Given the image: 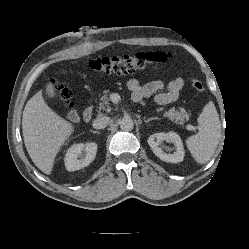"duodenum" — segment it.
<instances>
[{
	"label": "duodenum",
	"instance_id": "410a0bca",
	"mask_svg": "<svg viewBox=\"0 0 249 249\" xmlns=\"http://www.w3.org/2000/svg\"><path fill=\"white\" fill-rule=\"evenodd\" d=\"M93 114H94L93 108L91 106L86 107L83 111V120L85 122L91 121Z\"/></svg>",
	"mask_w": 249,
	"mask_h": 249
}]
</instances>
